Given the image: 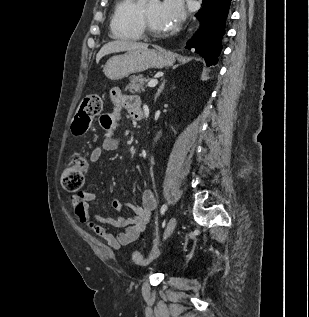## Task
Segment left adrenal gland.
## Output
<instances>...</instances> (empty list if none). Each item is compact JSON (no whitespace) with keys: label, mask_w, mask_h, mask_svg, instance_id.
Segmentation results:
<instances>
[{"label":"left adrenal gland","mask_w":309,"mask_h":317,"mask_svg":"<svg viewBox=\"0 0 309 317\" xmlns=\"http://www.w3.org/2000/svg\"><path fill=\"white\" fill-rule=\"evenodd\" d=\"M165 82H166V80L164 79L163 82L161 83L159 89L157 90V93H156V95H155V100H156L157 97L160 95V93L163 91L164 86H165Z\"/></svg>","instance_id":"a2214340"}]
</instances>
